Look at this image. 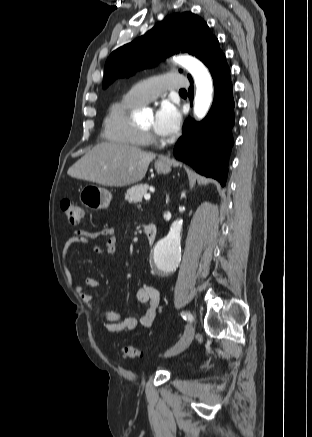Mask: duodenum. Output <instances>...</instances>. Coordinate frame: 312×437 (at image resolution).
<instances>
[{
  "label": "duodenum",
  "instance_id": "1",
  "mask_svg": "<svg viewBox=\"0 0 312 437\" xmlns=\"http://www.w3.org/2000/svg\"><path fill=\"white\" fill-rule=\"evenodd\" d=\"M144 230H145L146 244L147 246H150L153 244V242L156 239L157 228L154 223L147 222L144 226Z\"/></svg>",
  "mask_w": 312,
  "mask_h": 437
}]
</instances>
